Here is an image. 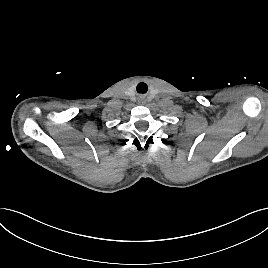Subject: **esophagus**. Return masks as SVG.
<instances>
[{
	"label": "esophagus",
	"mask_w": 268,
	"mask_h": 268,
	"mask_svg": "<svg viewBox=\"0 0 268 268\" xmlns=\"http://www.w3.org/2000/svg\"><path fill=\"white\" fill-rule=\"evenodd\" d=\"M139 102L143 104L144 103V97H141Z\"/></svg>",
	"instance_id": "obj_1"
}]
</instances>
